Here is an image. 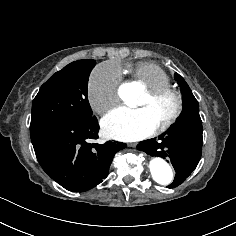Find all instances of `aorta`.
Instances as JSON below:
<instances>
[{
    "label": "aorta",
    "mask_w": 236,
    "mask_h": 236,
    "mask_svg": "<svg viewBox=\"0 0 236 236\" xmlns=\"http://www.w3.org/2000/svg\"><path fill=\"white\" fill-rule=\"evenodd\" d=\"M124 98L129 104L136 101L135 93L126 90ZM150 172L155 182L160 185H168L173 181V172L170 165L161 157H153L149 163Z\"/></svg>",
    "instance_id": "obj_1"
}]
</instances>
